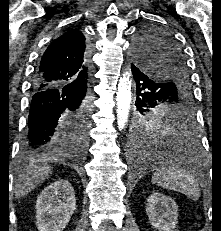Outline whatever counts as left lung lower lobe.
I'll use <instances>...</instances> for the list:
<instances>
[{"mask_svg": "<svg viewBox=\"0 0 221 231\" xmlns=\"http://www.w3.org/2000/svg\"><path fill=\"white\" fill-rule=\"evenodd\" d=\"M131 70L136 82L137 99L135 105L139 108L145 100L153 98L167 86L164 83L153 81L137 66L131 64ZM174 130L164 134H155L150 137L139 136L134 132L131 142L132 153L146 161H156L161 150L168 151L170 156L165 161L180 166L191 165L192 158L199 151L198 137L195 133V120L188 116L176 122Z\"/></svg>", "mask_w": 221, "mask_h": 231, "instance_id": "1", "label": "left lung lower lobe"}]
</instances>
